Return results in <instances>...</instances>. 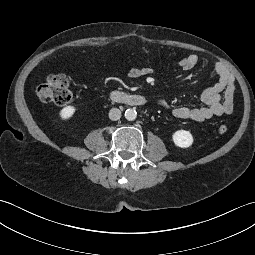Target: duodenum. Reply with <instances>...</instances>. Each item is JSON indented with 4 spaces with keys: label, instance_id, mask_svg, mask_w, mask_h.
<instances>
[{
    "label": "duodenum",
    "instance_id": "1",
    "mask_svg": "<svg viewBox=\"0 0 255 255\" xmlns=\"http://www.w3.org/2000/svg\"><path fill=\"white\" fill-rule=\"evenodd\" d=\"M109 98L113 102L129 106H143L146 104V99L143 96L136 94H128L119 90H112L109 93Z\"/></svg>",
    "mask_w": 255,
    "mask_h": 255
}]
</instances>
